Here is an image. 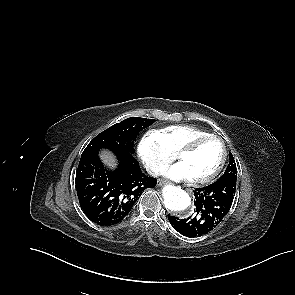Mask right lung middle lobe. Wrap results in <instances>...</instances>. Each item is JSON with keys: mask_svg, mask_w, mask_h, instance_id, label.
Here are the masks:
<instances>
[{"mask_svg": "<svg viewBox=\"0 0 295 295\" xmlns=\"http://www.w3.org/2000/svg\"><path fill=\"white\" fill-rule=\"evenodd\" d=\"M154 122L155 119L131 117L114 124L92 139L83 151L81 160L98 155L102 148H108L114 153H133L137 134Z\"/></svg>", "mask_w": 295, "mask_h": 295, "instance_id": "1", "label": "right lung middle lobe"}]
</instances>
